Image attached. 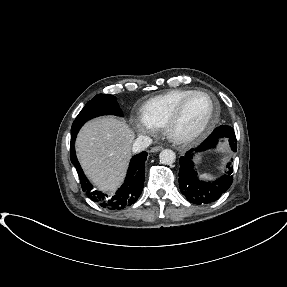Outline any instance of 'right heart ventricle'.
Here are the masks:
<instances>
[{
  "label": "right heart ventricle",
  "mask_w": 287,
  "mask_h": 287,
  "mask_svg": "<svg viewBox=\"0 0 287 287\" xmlns=\"http://www.w3.org/2000/svg\"><path fill=\"white\" fill-rule=\"evenodd\" d=\"M195 90L175 89L148 99L140 108L141 116L154 126L163 127L167 118L187 95Z\"/></svg>",
  "instance_id": "obj_1"
}]
</instances>
